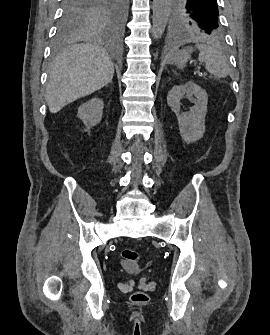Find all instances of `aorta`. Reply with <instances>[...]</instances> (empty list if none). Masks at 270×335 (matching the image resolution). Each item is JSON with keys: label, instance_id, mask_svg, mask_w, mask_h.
Listing matches in <instances>:
<instances>
[{"label": "aorta", "instance_id": "aorta-1", "mask_svg": "<svg viewBox=\"0 0 270 335\" xmlns=\"http://www.w3.org/2000/svg\"><path fill=\"white\" fill-rule=\"evenodd\" d=\"M172 0H153V26L154 38H161L168 22Z\"/></svg>", "mask_w": 270, "mask_h": 335}]
</instances>
